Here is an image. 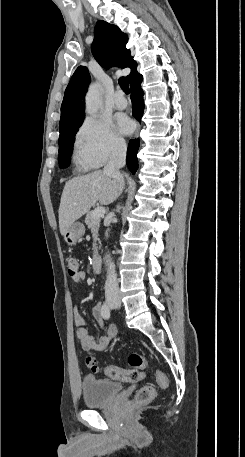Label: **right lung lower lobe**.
I'll use <instances>...</instances> for the list:
<instances>
[{
  "instance_id": "1",
  "label": "right lung lower lobe",
  "mask_w": 245,
  "mask_h": 457,
  "mask_svg": "<svg viewBox=\"0 0 245 457\" xmlns=\"http://www.w3.org/2000/svg\"><path fill=\"white\" fill-rule=\"evenodd\" d=\"M142 82V76L137 77L131 83V100L133 108V116L136 117L139 121L143 115L144 102H143V91L140 87ZM139 148V139L130 140L128 149H127V166L129 170L135 174L138 169V160H137V151Z\"/></svg>"
}]
</instances>
